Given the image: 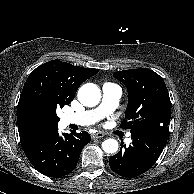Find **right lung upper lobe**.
<instances>
[{"label": "right lung upper lobe", "instance_id": "right-lung-upper-lobe-1", "mask_svg": "<svg viewBox=\"0 0 194 194\" xmlns=\"http://www.w3.org/2000/svg\"><path fill=\"white\" fill-rule=\"evenodd\" d=\"M98 71L59 60L34 69L26 80L17 107L21 144L37 134L58 128V122L47 106L48 98H59L70 104L80 84Z\"/></svg>", "mask_w": 194, "mask_h": 194}]
</instances>
